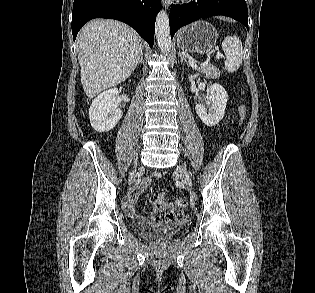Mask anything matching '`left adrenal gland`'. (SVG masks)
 <instances>
[{
    "mask_svg": "<svg viewBox=\"0 0 315 293\" xmlns=\"http://www.w3.org/2000/svg\"><path fill=\"white\" fill-rule=\"evenodd\" d=\"M179 56H180V62L181 63L185 62L189 66L187 60L185 59V57L181 53H179Z\"/></svg>",
    "mask_w": 315,
    "mask_h": 293,
    "instance_id": "obj_1",
    "label": "left adrenal gland"
}]
</instances>
